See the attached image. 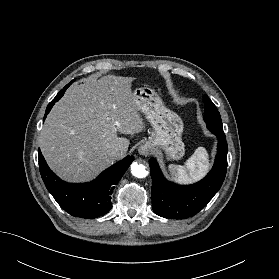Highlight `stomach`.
<instances>
[{
  "mask_svg": "<svg viewBox=\"0 0 279 279\" xmlns=\"http://www.w3.org/2000/svg\"><path fill=\"white\" fill-rule=\"evenodd\" d=\"M140 110L151 123L154 133L148 143L165 151L168 158L179 160L185 153L182 142L183 122L173 111L167 109L159 95L144 86L133 91Z\"/></svg>",
  "mask_w": 279,
  "mask_h": 279,
  "instance_id": "1",
  "label": "stomach"
}]
</instances>
